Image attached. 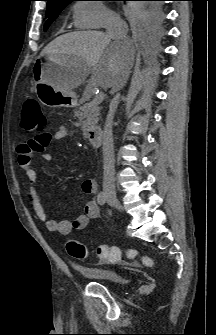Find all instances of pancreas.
<instances>
[{
    "label": "pancreas",
    "instance_id": "1",
    "mask_svg": "<svg viewBox=\"0 0 216 335\" xmlns=\"http://www.w3.org/2000/svg\"><path fill=\"white\" fill-rule=\"evenodd\" d=\"M91 97V89L87 88L82 98L80 99L79 110L76 115L82 120V128L84 135L93 125H96L100 119V107L98 105H92L91 102L86 103Z\"/></svg>",
    "mask_w": 216,
    "mask_h": 335
}]
</instances>
